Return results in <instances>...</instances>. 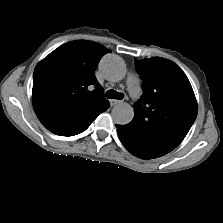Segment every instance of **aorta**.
Listing matches in <instances>:
<instances>
[{
  "instance_id": "obj_1",
  "label": "aorta",
  "mask_w": 223,
  "mask_h": 223,
  "mask_svg": "<svg viewBox=\"0 0 223 223\" xmlns=\"http://www.w3.org/2000/svg\"><path fill=\"white\" fill-rule=\"evenodd\" d=\"M100 69L106 79L114 82L122 80L126 73L124 61L112 54L106 55L101 60ZM111 115L116 124L125 125L132 121L134 110L128 103L121 102L113 107Z\"/></svg>"
}]
</instances>
